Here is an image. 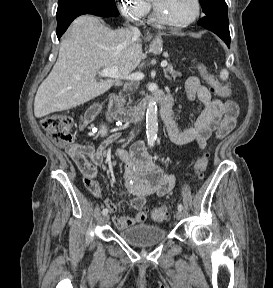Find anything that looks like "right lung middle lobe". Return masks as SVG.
<instances>
[{
  "label": "right lung middle lobe",
  "instance_id": "right-lung-middle-lobe-1",
  "mask_svg": "<svg viewBox=\"0 0 273 288\" xmlns=\"http://www.w3.org/2000/svg\"><path fill=\"white\" fill-rule=\"evenodd\" d=\"M80 12L106 16L119 15L114 0H59L56 18Z\"/></svg>",
  "mask_w": 273,
  "mask_h": 288
}]
</instances>
